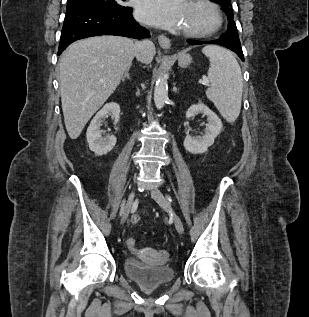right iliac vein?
<instances>
[{
    "label": "right iliac vein",
    "mask_w": 309,
    "mask_h": 317,
    "mask_svg": "<svg viewBox=\"0 0 309 317\" xmlns=\"http://www.w3.org/2000/svg\"><path fill=\"white\" fill-rule=\"evenodd\" d=\"M134 198H135V191L132 190L128 196V199H127L126 207H125V210H124L122 218H121V224H124L126 222L128 215H129V212L131 210V207L133 205Z\"/></svg>",
    "instance_id": "obj_1"
}]
</instances>
